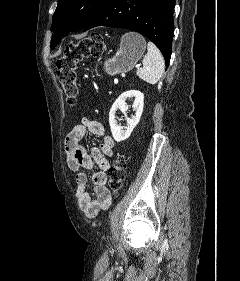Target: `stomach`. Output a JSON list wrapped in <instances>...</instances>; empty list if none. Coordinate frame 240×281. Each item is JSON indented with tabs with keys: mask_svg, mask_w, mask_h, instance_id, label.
<instances>
[{
	"mask_svg": "<svg viewBox=\"0 0 240 281\" xmlns=\"http://www.w3.org/2000/svg\"><path fill=\"white\" fill-rule=\"evenodd\" d=\"M146 48L145 39L134 32L126 33L121 38L117 53L104 62V69L109 75L130 71L142 57Z\"/></svg>",
	"mask_w": 240,
	"mask_h": 281,
	"instance_id": "stomach-1",
	"label": "stomach"
}]
</instances>
